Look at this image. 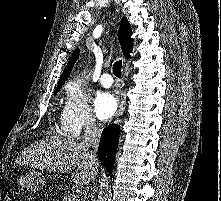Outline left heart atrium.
Returning <instances> with one entry per match:
<instances>
[{"label":"left heart atrium","instance_id":"obj_1","mask_svg":"<svg viewBox=\"0 0 221 201\" xmlns=\"http://www.w3.org/2000/svg\"><path fill=\"white\" fill-rule=\"evenodd\" d=\"M118 102L116 97L110 92H100L94 101L96 116L101 120H107L114 115Z\"/></svg>","mask_w":221,"mask_h":201}]
</instances>
